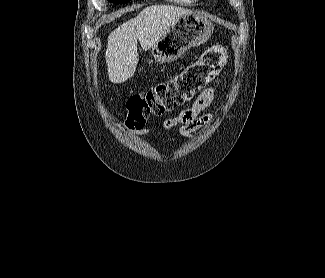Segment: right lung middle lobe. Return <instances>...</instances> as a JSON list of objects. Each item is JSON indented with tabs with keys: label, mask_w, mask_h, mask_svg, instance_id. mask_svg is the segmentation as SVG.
Listing matches in <instances>:
<instances>
[{
	"label": "right lung middle lobe",
	"mask_w": 325,
	"mask_h": 278,
	"mask_svg": "<svg viewBox=\"0 0 325 278\" xmlns=\"http://www.w3.org/2000/svg\"><path fill=\"white\" fill-rule=\"evenodd\" d=\"M111 2L115 3V4H120V3H126L130 0H110Z\"/></svg>",
	"instance_id": "1"
}]
</instances>
